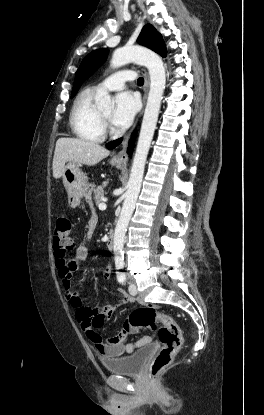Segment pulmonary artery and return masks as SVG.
Returning <instances> with one entry per match:
<instances>
[{"instance_id":"e3ab8cb5","label":"pulmonary artery","mask_w":264,"mask_h":415,"mask_svg":"<svg viewBox=\"0 0 264 415\" xmlns=\"http://www.w3.org/2000/svg\"><path fill=\"white\" fill-rule=\"evenodd\" d=\"M134 79V73L128 71H119L113 73L102 82L94 86V90L96 92L121 90L125 87L127 81H133Z\"/></svg>"}]
</instances>
